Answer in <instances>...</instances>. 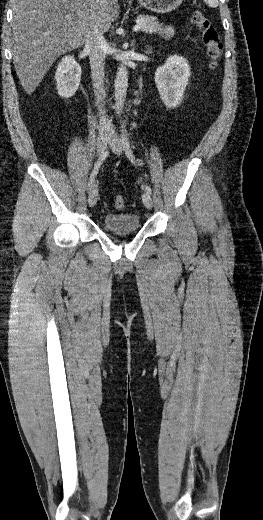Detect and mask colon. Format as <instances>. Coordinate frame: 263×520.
Here are the masks:
<instances>
[{
	"instance_id": "obj_1",
	"label": "colon",
	"mask_w": 263,
	"mask_h": 520,
	"mask_svg": "<svg viewBox=\"0 0 263 520\" xmlns=\"http://www.w3.org/2000/svg\"><path fill=\"white\" fill-rule=\"evenodd\" d=\"M191 23L200 30L206 57L209 60V66L210 68L215 69L218 66L222 54V44L216 28L213 26L209 18L200 11H195L192 14ZM125 205L126 200L124 196H116L115 207L117 209H123Z\"/></svg>"
}]
</instances>
